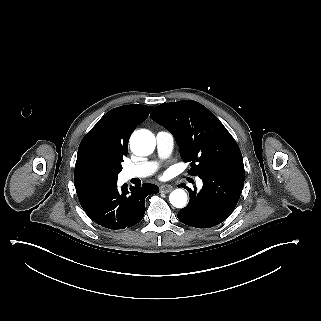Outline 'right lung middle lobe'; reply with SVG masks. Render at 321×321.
I'll list each match as a JSON object with an SVG mask.
<instances>
[{
  "mask_svg": "<svg viewBox=\"0 0 321 321\" xmlns=\"http://www.w3.org/2000/svg\"><path fill=\"white\" fill-rule=\"evenodd\" d=\"M91 169L103 176L104 181H117V175L122 170L123 157H111L101 152H92L87 157Z\"/></svg>",
  "mask_w": 321,
  "mask_h": 321,
  "instance_id": "dd1d6c3e",
  "label": "right lung middle lobe"
}]
</instances>
